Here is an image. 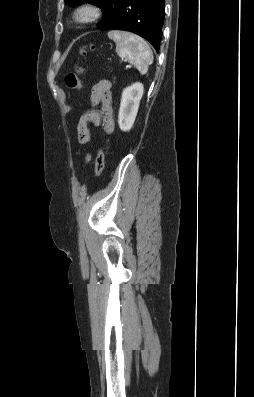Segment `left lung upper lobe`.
<instances>
[{
    "instance_id": "1",
    "label": "left lung upper lobe",
    "mask_w": 254,
    "mask_h": 397,
    "mask_svg": "<svg viewBox=\"0 0 254 397\" xmlns=\"http://www.w3.org/2000/svg\"><path fill=\"white\" fill-rule=\"evenodd\" d=\"M65 3H67L68 5L74 7L76 5H81L82 3H91L94 4L96 6H99L101 8H103V10L106 8L108 1L109 0H64Z\"/></svg>"
}]
</instances>
